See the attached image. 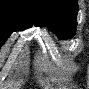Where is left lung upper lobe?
<instances>
[{
    "label": "left lung upper lobe",
    "instance_id": "5c2ea615",
    "mask_svg": "<svg viewBox=\"0 0 89 89\" xmlns=\"http://www.w3.org/2000/svg\"><path fill=\"white\" fill-rule=\"evenodd\" d=\"M36 26H47L61 38L76 31L78 5L76 0H32Z\"/></svg>",
    "mask_w": 89,
    "mask_h": 89
}]
</instances>
